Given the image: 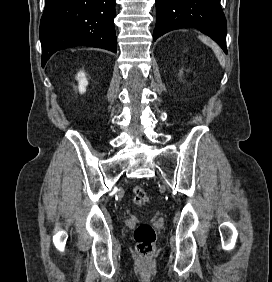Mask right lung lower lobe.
<instances>
[{"mask_svg":"<svg viewBox=\"0 0 272 282\" xmlns=\"http://www.w3.org/2000/svg\"><path fill=\"white\" fill-rule=\"evenodd\" d=\"M115 0H46L41 18L42 67L58 50L86 45L116 52Z\"/></svg>","mask_w":272,"mask_h":282,"instance_id":"98d812e1","label":"right lung lower lobe"}]
</instances>
